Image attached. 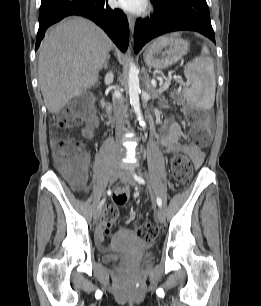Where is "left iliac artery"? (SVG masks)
Instances as JSON below:
<instances>
[{
  "label": "left iliac artery",
  "mask_w": 261,
  "mask_h": 306,
  "mask_svg": "<svg viewBox=\"0 0 261 306\" xmlns=\"http://www.w3.org/2000/svg\"><path fill=\"white\" fill-rule=\"evenodd\" d=\"M133 177L140 184H145L146 183L145 180L143 179V177H141L137 174H134ZM157 204H158L159 207H162V200H161L160 197H157Z\"/></svg>",
  "instance_id": "44dca946"
}]
</instances>
